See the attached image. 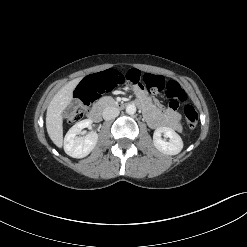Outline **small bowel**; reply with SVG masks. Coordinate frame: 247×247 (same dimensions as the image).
I'll return each mask as SVG.
<instances>
[{"instance_id":"c3829d8e","label":"small bowel","mask_w":247,"mask_h":247,"mask_svg":"<svg viewBox=\"0 0 247 247\" xmlns=\"http://www.w3.org/2000/svg\"><path fill=\"white\" fill-rule=\"evenodd\" d=\"M133 91L137 96V101L141 102L144 116L152 128H169L178 132L182 130L181 117L175 107L170 106L165 111H161L143 87L134 85Z\"/></svg>"}]
</instances>
